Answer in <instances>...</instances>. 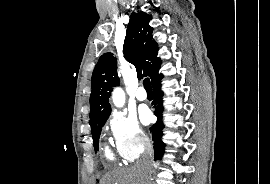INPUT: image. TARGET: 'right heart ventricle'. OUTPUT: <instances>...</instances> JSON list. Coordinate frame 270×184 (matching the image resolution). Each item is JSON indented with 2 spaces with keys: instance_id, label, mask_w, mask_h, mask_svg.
<instances>
[{
  "instance_id": "1",
  "label": "right heart ventricle",
  "mask_w": 270,
  "mask_h": 184,
  "mask_svg": "<svg viewBox=\"0 0 270 184\" xmlns=\"http://www.w3.org/2000/svg\"><path fill=\"white\" fill-rule=\"evenodd\" d=\"M105 154H106V157H107L109 160H113V156H112V154L110 153L109 150H106Z\"/></svg>"
}]
</instances>
